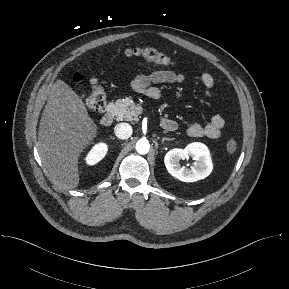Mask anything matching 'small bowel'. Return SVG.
Instances as JSON below:
<instances>
[{
  "instance_id": "small-bowel-1",
  "label": "small bowel",
  "mask_w": 289,
  "mask_h": 289,
  "mask_svg": "<svg viewBox=\"0 0 289 289\" xmlns=\"http://www.w3.org/2000/svg\"><path fill=\"white\" fill-rule=\"evenodd\" d=\"M185 79L183 72H174L171 70H154L147 74L139 75L133 81V88L136 92L145 94L152 99H158L161 96L160 84L181 83ZM201 83L207 96H211L215 80L212 74L205 72L201 75ZM170 120V119H169ZM173 121V120H172ZM225 126V119L215 114L205 125L193 123L188 126L187 133L191 137H207L216 139L221 135ZM167 130V129H166ZM173 131V130H167Z\"/></svg>"
}]
</instances>
